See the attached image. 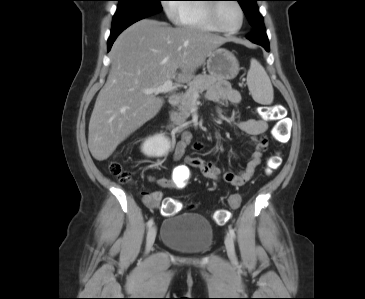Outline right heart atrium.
I'll list each match as a JSON object with an SVG mask.
<instances>
[{
  "label": "right heart atrium",
  "instance_id": "obj_1",
  "mask_svg": "<svg viewBox=\"0 0 365 299\" xmlns=\"http://www.w3.org/2000/svg\"><path fill=\"white\" fill-rule=\"evenodd\" d=\"M174 2L175 0H163V8L165 10L166 15L171 20H177L179 7Z\"/></svg>",
  "mask_w": 365,
  "mask_h": 299
}]
</instances>
